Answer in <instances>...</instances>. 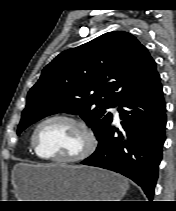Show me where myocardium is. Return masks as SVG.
<instances>
[{"mask_svg":"<svg viewBox=\"0 0 176 211\" xmlns=\"http://www.w3.org/2000/svg\"><path fill=\"white\" fill-rule=\"evenodd\" d=\"M56 120L70 122L78 126L83 131L85 135V146L79 154L71 157H49V156H43L39 152L37 146V134L39 130L45 124ZM31 146L35 155L41 160L57 162V163H76L86 159L95 151L97 146V137L94 130L84 120L68 114H55L43 119L37 124L31 136Z\"/></svg>","mask_w":176,"mask_h":211,"instance_id":"1","label":"myocardium"}]
</instances>
